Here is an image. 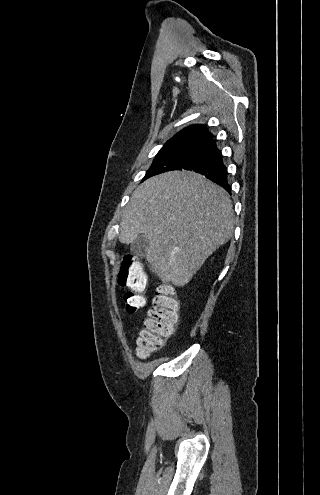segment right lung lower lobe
I'll use <instances>...</instances> for the list:
<instances>
[{
	"label": "right lung lower lobe",
	"mask_w": 320,
	"mask_h": 495,
	"mask_svg": "<svg viewBox=\"0 0 320 495\" xmlns=\"http://www.w3.org/2000/svg\"><path fill=\"white\" fill-rule=\"evenodd\" d=\"M182 169L195 171L204 175L231 194V187L227 183V168L223 164L222 154L213 139L207 141L177 170Z\"/></svg>",
	"instance_id": "1"
}]
</instances>
